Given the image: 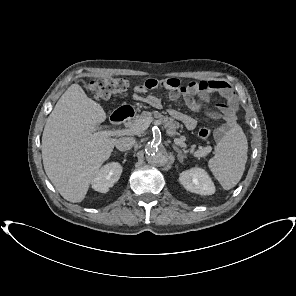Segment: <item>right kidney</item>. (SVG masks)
Instances as JSON below:
<instances>
[{
	"mask_svg": "<svg viewBox=\"0 0 296 296\" xmlns=\"http://www.w3.org/2000/svg\"><path fill=\"white\" fill-rule=\"evenodd\" d=\"M122 173V166L118 162H111L101 167L94 175L91 185L95 191L106 193L113 187Z\"/></svg>",
	"mask_w": 296,
	"mask_h": 296,
	"instance_id": "ca27d5eb",
	"label": "right kidney"
}]
</instances>
